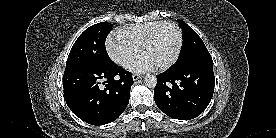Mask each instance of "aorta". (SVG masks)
Wrapping results in <instances>:
<instances>
[{
  "label": "aorta",
  "mask_w": 276,
  "mask_h": 138,
  "mask_svg": "<svg viewBox=\"0 0 276 138\" xmlns=\"http://www.w3.org/2000/svg\"><path fill=\"white\" fill-rule=\"evenodd\" d=\"M144 84L149 87V88H153L156 86L157 84V78L155 75H151V74H147L144 77Z\"/></svg>",
  "instance_id": "aorta-1"
}]
</instances>
